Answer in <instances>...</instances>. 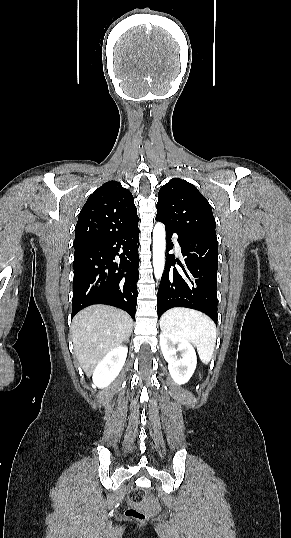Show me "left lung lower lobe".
Listing matches in <instances>:
<instances>
[{
	"mask_svg": "<svg viewBox=\"0 0 291 538\" xmlns=\"http://www.w3.org/2000/svg\"><path fill=\"white\" fill-rule=\"evenodd\" d=\"M165 229L167 252L173 246L172 234L177 233L184 261L177 260L179 267H175V256L166 257L157 295L158 318L170 308L187 307L207 314L217 324V240L184 234L166 225Z\"/></svg>",
	"mask_w": 291,
	"mask_h": 538,
	"instance_id": "obj_1",
	"label": "left lung lower lobe"
}]
</instances>
